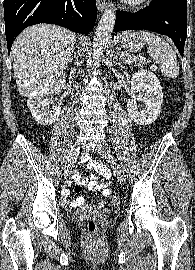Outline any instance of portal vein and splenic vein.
Instances as JSON below:
<instances>
[{"label": "portal vein and splenic vein", "instance_id": "1", "mask_svg": "<svg viewBox=\"0 0 195 270\" xmlns=\"http://www.w3.org/2000/svg\"><path fill=\"white\" fill-rule=\"evenodd\" d=\"M118 54H119L120 58H123L125 56V54L123 52H119ZM139 57H141V56H139Z\"/></svg>", "mask_w": 195, "mask_h": 270}]
</instances>
